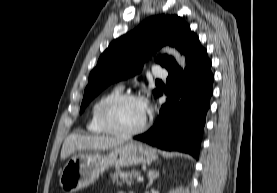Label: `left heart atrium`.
I'll return each instance as SVG.
<instances>
[{
    "mask_svg": "<svg viewBox=\"0 0 277 193\" xmlns=\"http://www.w3.org/2000/svg\"><path fill=\"white\" fill-rule=\"evenodd\" d=\"M141 102H142L145 110H147L148 109V102L146 100H142Z\"/></svg>",
    "mask_w": 277,
    "mask_h": 193,
    "instance_id": "left-heart-atrium-1",
    "label": "left heart atrium"
}]
</instances>
